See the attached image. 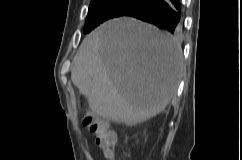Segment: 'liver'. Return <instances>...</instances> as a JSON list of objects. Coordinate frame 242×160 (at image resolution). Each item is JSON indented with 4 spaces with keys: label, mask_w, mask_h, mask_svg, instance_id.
<instances>
[{
    "label": "liver",
    "mask_w": 242,
    "mask_h": 160,
    "mask_svg": "<svg viewBox=\"0 0 242 160\" xmlns=\"http://www.w3.org/2000/svg\"><path fill=\"white\" fill-rule=\"evenodd\" d=\"M182 66L176 39L122 17L85 37L71 79L94 113L135 125L164 111L176 94Z\"/></svg>",
    "instance_id": "1"
}]
</instances>
